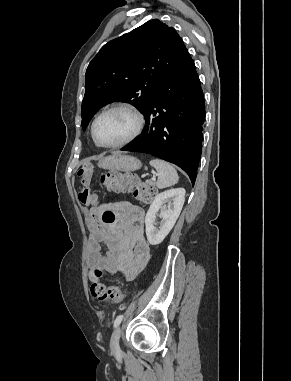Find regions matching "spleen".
I'll return each mask as SVG.
<instances>
[{
	"instance_id": "spleen-1",
	"label": "spleen",
	"mask_w": 291,
	"mask_h": 381,
	"mask_svg": "<svg viewBox=\"0 0 291 381\" xmlns=\"http://www.w3.org/2000/svg\"><path fill=\"white\" fill-rule=\"evenodd\" d=\"M150 165L158 172V179L156 185L159 189H164L176 184L179 176L175 168L166 161L160 159H153Z\"/></svg>"
}]
</instances>
